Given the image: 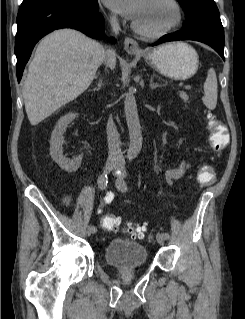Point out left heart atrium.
Segmentation results:
<instances>
[{
    "instance_id": "obj_1",
    "label": "left heart atrium",
    "mask_w": 245,
    "mask_h": 319,
    "mask_svg": "<svg viewBox=\"0 0 245 319\" xmlns=\"http://www.w3.org/2000/svg\"><path fill=\"white\" fill-rule=\"evenodd\" d=\"M103 2L113 11L135 21L143 8L145 0H103Z\"/></svg>"
}]
</instances>
